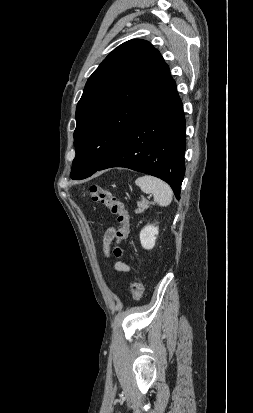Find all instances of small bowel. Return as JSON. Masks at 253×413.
Here are the masks:
<instances>
[{
  "label": "small bowel",
  "instance_id": "small-bowel-1",
  "mask_svg": "<svg viewBox=\"0 0 253 413\" xmlns=\"http://www.w3.org/2000/svg\"><path fill=\"white\" fill-rule=\"evenodd\" d=\"M114 233H115V229L113 227L109 228L105 235H104V239H103V243H104V252L109 255V250H110V244L114 238ZM114 268L116 271L119 272H128L130 270V266L124 262L121 261H117L114 264Z\"/></svg>",
  "mask_w": 253,
  "mask_h": 413
}]
</instances>
